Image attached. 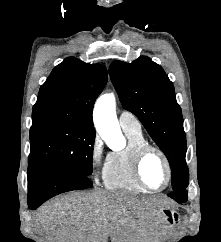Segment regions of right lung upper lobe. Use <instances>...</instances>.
<instances>
[{
    "label": "right lung upper lobe",
    "instance_id": "1",
    "mask_svg": "<svg viewBox=\"0 0 221 242\" xmlns=\"http://www.w3.org/2000/svg\"><path fill=\"white\" fill-rule=\"evenodd\" d=\"M106 83L104 65L66 58L41 86L33 107L32 126L62 123L95 130L92 110Z\"/></svg>",
    "mask_w": 221,
    "mask_h": 242
}]
</instances>
